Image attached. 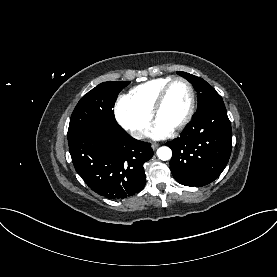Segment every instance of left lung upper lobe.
Listing matches in <instances>:
<instances>
[{
	"label": "left lung upper lobe",
	"mask_w": 277,
	"mask_h": 277,
	"mask_svg": "<svg viewBox=\"0 0 277 277\" xmlns=\"http://www.w3.org/2000/svg\"><path fill=\"white\" fill-rule=\"evenodd\" d=\"M177 74L188 80L196 90L198 97L197 112L212 102L222 99L216 90L202 78L181 71H178Z\"/></svg>",
	"instance_id": "5c2ea615"
}]
</instances>
